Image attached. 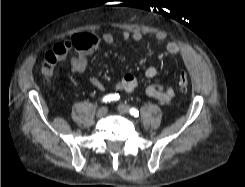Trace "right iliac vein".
I'll list each match as a JSON object with an SVG mask.
<instances>
[{"label": "right iliac vein", "instance_id": "obj_1", "mask_svg": "<svg viewBox=\"0 0 245 187\" xmlns=\"http://www.w3.org/2000/svg\"><path fill=\"white\" fill-rule=\"evenodd\" d=\"M107 107H101L98 111H97V117L101 118L103 116H105L107 114Z\"/></svg>", "mask_w": 245, "mask_h": 187}]
</instances>
